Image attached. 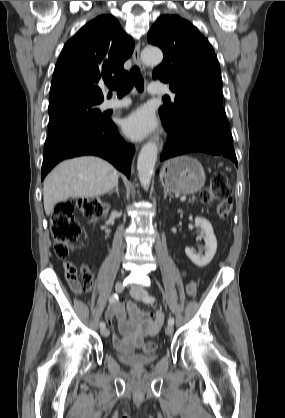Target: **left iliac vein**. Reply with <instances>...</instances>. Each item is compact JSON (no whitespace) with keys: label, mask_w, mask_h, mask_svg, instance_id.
I'll use <instances>...</instances> for the list:
<instances>
[{"label":"left iliac vein","mask_w":285,"mask_h":418,"mask_svg":"<svg viewBox=\"0 0 285 418\" xmlns=\"http://www.w3.org/2000/svg\"><path fill=\"white\" fill-rule=\"evenodd\" d=\"M130 294L136 300H142L148 296V292L141 287L131 289ZM173 330V325H168L165 328L166 335H171L173 333Z\"/></svg>","instance_id":"4c4485c4"}]
</instances>
